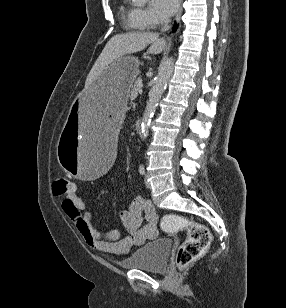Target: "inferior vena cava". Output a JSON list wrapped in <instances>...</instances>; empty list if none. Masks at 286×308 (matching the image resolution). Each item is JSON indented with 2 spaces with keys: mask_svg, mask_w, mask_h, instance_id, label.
Listing matches in <instances>:
<instances>
[{
  "mask_svg": "<svg viewBox=\"0 0 286 308\" xmlns=\"http://www.w3.org/2000/svg\"><path fill=\"white\" fill-rule=\"evenodd\" d=\"M169 29H170L169 21L168 20H164L163 27H162L161 31H167Z\"/></svg>",
  "mask_w": 286,
  "mask_h": 308,
  "instance_id": "1",
  "label": "inferior vena cava"
}]
</instances>
